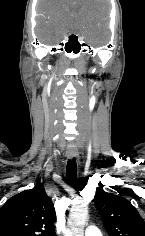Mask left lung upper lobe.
<instances>
[{
	"label": "left lung upper lobe",
	"instance_id": "1",
	"mask_svg": "<svg viewBox=\"0 0 145 236\" xmlns=\"http://www.w3.org/2000/svg\"><path fill=\"white\" fill-rule=\"evenodd\" d=\"M94 200L109 236H145V222L128 200L103 190Z\"/></svg>",
	"mask_w": 145,
	"mask_h": 236
}]
</instances>
